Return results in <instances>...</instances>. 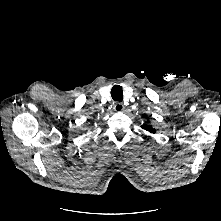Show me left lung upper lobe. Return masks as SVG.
I'll return each instance as SVG.
<instances>
[{
  "instance_id": "left-lung-upper-lobe-1",
  "label": "left lung upper lobe",
  "mask_w": 221,
  "mask_h": 221,
  "mask_svg": "<svg viewBox=\"0 0 221 221\" xmlns=\"http://www.w3.org/2000/svg\"><path fill=\"white\" fill-rule=\"evenodd\" d=\"M142 128L153 134L156 132V130L150 124H144Z\"/></svg>"
}]
</instances>
